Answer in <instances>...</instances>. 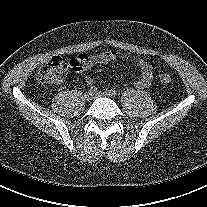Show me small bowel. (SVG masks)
Here are the masks:
<instances>
[{
  "label": "small bowel",
  "mask_w": 207,
  "mask_h": 207,
  "mask_svg": "<svg viewBox=\"0 0 207 207\" xmlns=\"http://www.w3.org/2000/svg\"><path fill=\"white\" fill-rule=\"evenodd\" d=\"M118 58L132 62L140 69V77L134 82L136 88L143 89L151 84L153 72L152 67L148 62L139 57L121 54L114 51H104L95 56L80 54L70 61V68L77 74H83L91 70L96 65H105ZM58 82H61V79H59ZM86 82L87 84H92L93 79L87 77Z\"/></svg>",
  "instance_id": "c3829d8e"
}]
</instances>
